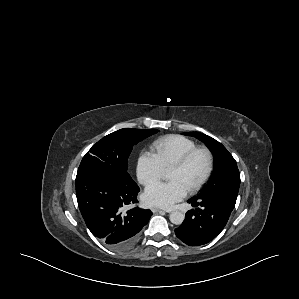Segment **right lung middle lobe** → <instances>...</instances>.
Segmentation results:
<instances>
[{
	"mask_svg": "<svg viewBox=\"0 0 299 299\" xmlns=\"http://www.w3.org/2000/svg\"><path fill=\"white\" fill-rule=\"evenodd\" d=\"M158 132L156 129L124 128L99 140L84 156L78 171L99 167L112 171L128 184H135L127 172L128 156L134 144Z\"/></svg>",
	"mask_w": 299,
	"mask_h": 299,
	"instance_id": "right-lung-middle-lobe-1",
	"label": "right lung middle lobe"
}]
</instances>
